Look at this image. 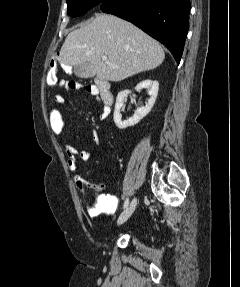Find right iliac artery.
Wrapping results in <instances>:
<instances>
[{"label": "right iliac artery", "mask_w": 240, "mask_h": 287, "mask_svg": "<svg viewBox=\"0 0 240 287\" xmlns=\"http://www.w3.org/2000/svg\"><path fill=\"white\" fill-rule=\"evenodd\" d=\"M128 204H129V199L127 198L124 202L123 208L124 209L127 208Z\"/></svg>", "instance_id": "82829eb1"}]
</instances>
